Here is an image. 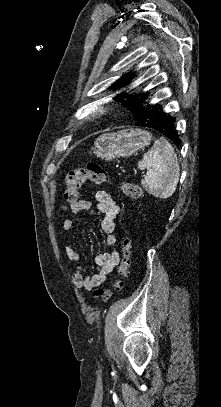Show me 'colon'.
I'll use <instances>...</instances> for the list:
<instances>
[{"mask_svg": "<svg viewBox=\"0 0 221 407\" xmlns=\"http://www.w3.org/2000/svg\"><path fill=\"white\" fill-rule=\"evenodd\" d=\"M86 181H91L95 184L109 183L111 176L109 172L97 162H89L85 167L70 170L65 177L64 204L72 206L81 200V187ZM121 188L129 200H137L141 196V188L138 184L124 182ZM116 265H118L120 277L115 281L112 288L95 290V299L106 301L111 297L114 291L123 288L124 278L128 275L131 265V242L128 238H124L122 241L121 255Z\"/></svg>", "mask_w": 221, "mask_h": 407, "instance_id": "5ec220e1", "label": "colon"}]
</instances>
